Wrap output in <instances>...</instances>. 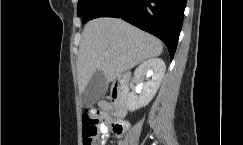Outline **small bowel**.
Returning <instances> with one entry per match:
<instances>
[{"mask_svg":"<svg viewBox=\"0 0 243 145\" xmlns=\"http://www.w3.org/2000/svg\"><path fill=\"white\" fill-rule=\"evenodd\" d=\"M99 105H100V107H102V108H107V103L106 102H104V101H101L100 103H99ZM113 121H115L114 119H112L110 116H108V115H106V114H104V116H103V122H102V124H101V127H100V132H101V138H100V145H104L105 143H106V141H107V139H108V137H109V134L111 133V127H110V125H111V123L113 122ZM125 124V123H124ZM125 127H126V124H125ZM126 129V128H125ZM125 131V130H124ZM123 131V132H124ZM122 132V133H123ZM122 133H115L114 132V134H115V136H120V135H122Z\"/></svg>","mask_w":243,"mask_h":145,"instance_id":"c3829d8e","label":"small bowel"}]
</instances>
